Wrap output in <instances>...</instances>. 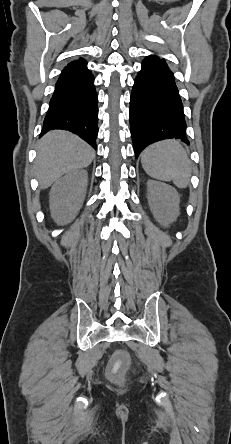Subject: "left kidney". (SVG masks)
I'll return each instance as SVG.
<instances>
[{
  "mask_svg": "<svg viewBox=\"0 0 231 444\" xmlns=\"http://www.w3.org/2000/svg\"><path fill=\"white\" fill-rule=\"evenodd\" d=\"M147 199L154 218L161 225L166 226L177 219L180 196L172 186L148 180Z\"/></svg>",
  "mask_w": 231,
  "mask_h": 444,
  "instance_id": "left-kidney-1",
  "label": "left kidney"
}]
</instances>
